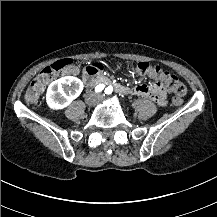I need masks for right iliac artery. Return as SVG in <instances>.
Returning a JSON list of instances; mask_svg holds the SVG:
<instances>
[{
    "instance_id": "obj_1",
    "label": "right iliac artery",
    "mask_w": 217,
    "mask_h": 217,
    "mask_svg": "<svg viewBox=\"0 0 217 217\" xmlns=\"http://www.w3.org/2000/svg\"><path fill=\"white\" fill-rule=\"evenodd\" d=\"M103 89H104V85H97V86L95 87V91H96V92H101Z\"/></svg>"
}]
</instances>
